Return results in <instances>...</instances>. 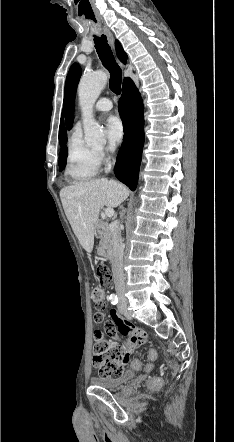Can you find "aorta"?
<instances>
[{
    "label": "aorta",
    "mask_w": 234,
    "mask_h": 442,
    "mask_svg": "<svg viewBox=\"0 0 234 442\" xmlns=\"http://www.w3.org/2000/svg\"><path fill=\"white\" fill-rule=\"evenodd\" d=\"M107 80L108 76L104 71H96L84 75L78 86L79 105L83 113L85 138L90 144L103 143L105 141L100 125L92 118V109Z\"/></svg>",
    "instance_id": "762f6f07"
}]
</instances>
